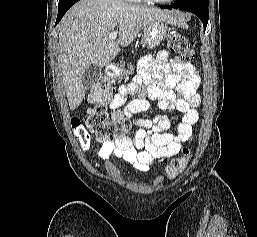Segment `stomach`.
I'll list each match as a JSON object with an SVG mask.
<instances>
[{"mask_svg": "<svg viewBox=\"0 0 257 237\" xmlns=\"http://www.w3.org/2000/svg\"><path fill=\"white\" fill-rule=\"evenodd\" d=\"M169 36L166 21L157 19L146 24L143 31V43L147 49L160 45Z\"/></svg>", "mask_w": 257, "mask_h": 237, "instance_id": "0dacf381", "label": "stomach"}]
</instances>
